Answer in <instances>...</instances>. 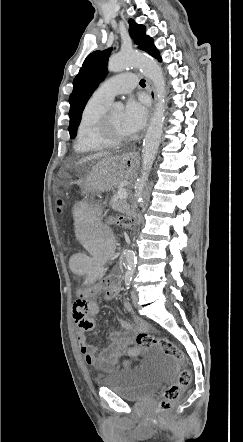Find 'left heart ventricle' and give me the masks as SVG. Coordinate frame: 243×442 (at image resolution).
I'll list each match as a JSON object with an SVG mask.
<instances>
[{
    "label": "left heart ventricle",
    "instance_id": "left-heart-ventricle-1",
    "mask_svg": "<svg viewBox=\"0 0 243 442\" xmlns=\"http://www.w3.org/2000/svg\"><path fill=\"white\" fill-rule=\"evenodd\" d=\"M112 133L118 137H126L129 136V133L124 127L123 124V112H111L109 115Z\"/></svg>",
    "mask_w": 243,
    "mask_h": 442
}]
</instances>
